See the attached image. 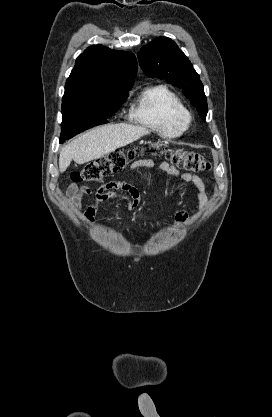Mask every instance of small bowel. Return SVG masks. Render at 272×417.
<instances>
[{
	"mask_svg": "<svg viewBox=\"0 0 272 417\" xmlns=\"http://www.w3.org/2000/svg\"><path fill=\"white\" fill-rule=\"evenodd\" d=\"M151 168L158 172L166 173L170 176L176 177L186 183L193 186L197 199L201 205H204L207 201V193L203 180L191 173H182L174 166L168 163L157 164L151 159H141L133 162L130 169L136 170L137 168ZM92 194V190L87 186H77L75 183L68 185L66 190V198L75 212H80V202L85 196ZM113 198H121L125 200L130 209H135L140 204V193L136 187L125 182H110L99 187L95 194L91 204L84 211V216L88 224H93L95 215L100 203L108 201ZM188 218V214L185 210L178 208L175 213V220L178 225L185 224Z\"/></svg>",
	"mask_w": 272,
	"mask_h": 417,
	"instance_id": "1",
	"label": "small bowel"
}]
</instances>
